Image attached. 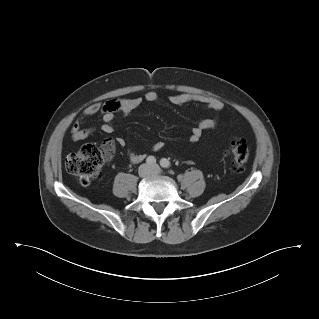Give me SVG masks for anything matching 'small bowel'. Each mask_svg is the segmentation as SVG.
Wrapping results in <instances>:
<instances>
[{
	"instance_id": "1",
	"label": "small bowel",
	"mask_w": 319,
	"mask_h": 319,
	"mask_svg": "<svg viewBox=\"0 0 319 319\" xmlns=\"http://www.w3.org/2000/svg\"><path fill=\"white\" fill-rule=\"evenodd\" d=\"M159 99V95L154 90L147 91L143 97H132L117 100L116 103H112L114 100H110L106 103H92L87 106L83 112L82 118L74 122L71 128V138L73 141H81L94 133L93 128H83L81 126L82 121L95 116L97 114L101 115L102 125L101 131L106 134H110L114 131V120L117 114L126 115L139 107L143 101L146 102H156ZM170 101L175 105H189V104H199L212 110L215 114H219L224 109V103L211 96L205 95H192L185 93H177L170 96ZM217 125V117L204 118L197 125L192 128L190 134V141L197 142L203 131L213 129ZM116 143L120 147H126V140L122 137L116 139ZM163 147V143L158 141L154 144V149L160 150ZM126 155L130 162L136 164L144 160L145 155L142 153L134 152L131 149H127Z\"/></svg>"
}]
</instances>
